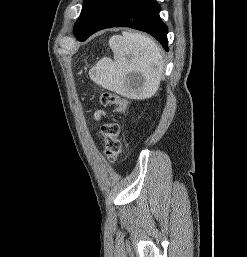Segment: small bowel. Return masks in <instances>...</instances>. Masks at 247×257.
Masks as SVG:
<instances>
[{"mask_svg": "<svg viewBox=\"0 0 247 257\" xmlns=\"http://www.w3.org/2000/svg\"><path fill=\"white\" fill-rule=\"evenodd\" d=\"M95 116L96 118H99L101 116V112H97Z\"/></svg>", "mask_w": 247, "mask_h": 257, "instance_id": "small-bowel-1", "label": "small bowel"}]
</instances>
